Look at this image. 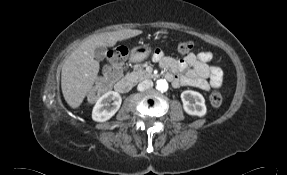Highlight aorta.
<instances>
[{
	"label": "aorta",
	"mask_w": 287,
	"mask_h": 175,
	"mask_svg": "<svg viewBox=\"0 0 287 175\" xmlns=\"http://www.w3.org/2000/svg\"><path fill=\"white\" fill-rule=\"evenodd\" d=\"M156 88L161 92H165L168 90V82L165 79H159L156 82Z\"/></svg>",
	"instance_id": "aorta-1"
}]
</instances>
